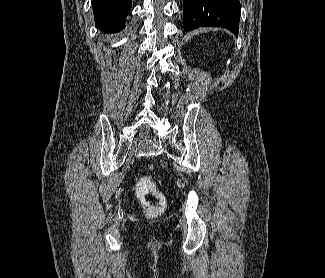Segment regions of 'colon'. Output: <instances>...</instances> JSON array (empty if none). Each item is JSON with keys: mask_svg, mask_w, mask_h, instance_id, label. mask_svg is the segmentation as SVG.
Here are the masks:
<instances>
[{"mask_svg": "<svg viewBox=\"0 0 325 278\" xmlns=\"http://www.w3.org/2000/svg\"><path fill=\"white\" fill-rule=\"evenodd\" d=\"M136 192L139 200L145 205L148 217H156L163 211L165 197L150 178H139L136 182Z\"/></svg>", "mask_w": 325, "mask_h": 278, "instance_id": "obj_1", "label": "colon"}]
</instances>
